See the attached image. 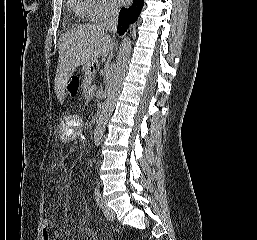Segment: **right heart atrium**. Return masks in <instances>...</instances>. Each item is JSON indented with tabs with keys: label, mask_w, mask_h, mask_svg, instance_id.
<instances>
[{
	"label": "right heart atrium",
	"mask_w": 257,
	"mask_h": 240,
	"mask_svg": "<svg viewBox=\"0 0 257 240\" xmlns=\"http://www.w3.org/2000/svg\"><path fill=\"white\" fill-rule=\"evenodd\" d=\"M93 7L90 13V19L93 21H102L113 17L118 12V5L115 0H92Z\"/></svg>",
	"instance_id": "d8ad5b80"
}]
</instances>
